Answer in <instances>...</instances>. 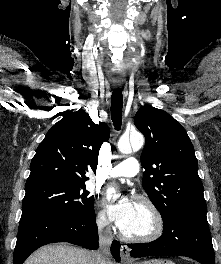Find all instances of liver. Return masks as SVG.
Instances as JSON below:
<instances>
[{"label":"liver","mask_w":221,"mask_h":264,"mask_svg":"<svg viewBox=\"0 0 221 264\" xmlns=\"http://www.w3.org/2000/svg\"><path fill=\"white\" fill-rule=\"evenodd\" d=\"M24 264H96V252L67 245H48L34 252ZM107 264H115L108 260Z\"/></svg>","instance_id":"1"}]
</instances>
